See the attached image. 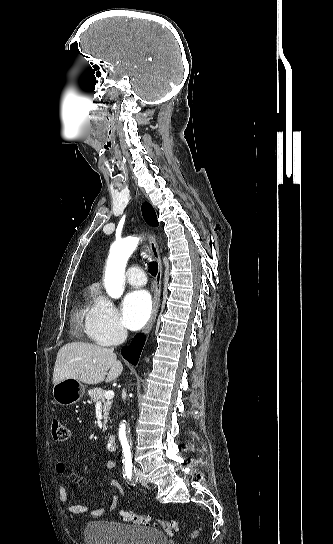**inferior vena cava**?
<instances>
[{
  "instance_id": "obj_1",
  "label": "inferior vena cava",
  "mask_w": 333,
  "mask_h": 544,
  "mask_svg": "<svg viewBox=\"0 0 333 544\" xmlns=\"http://www.w3.org/2000/svg\"><path fill=\"white\" fill-rule=\"evenodd\" d=\"M126 338H127V331L125 329L121 328L119 333H118L117 342L121 343V342L125 341Z\"/></svg>"
}]
</instances>
